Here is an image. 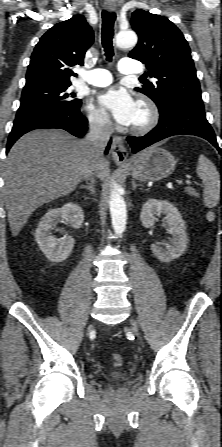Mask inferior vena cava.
<instances>
[{"instance_id":"obj_1","label":"inferior vena cava","mask_w":222,"mask_h":447,"mask_svg":"<svg viewBox=\"0 0 222 447\" xmlns=\"http://www.w3.org/2000/svg\"><path fill=\"white\" fill-rule=\"evenodd\" d=\"M112 132L113 128L108 117L91 122L90 131L87 134L85 141L90 146L94 160L92 161L90 168L83 174L84 179L89 180L96 174L95 163L103 159V152L110 140Z\"/></svg>"}]
</instances>
